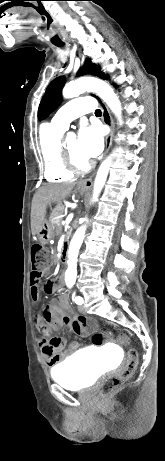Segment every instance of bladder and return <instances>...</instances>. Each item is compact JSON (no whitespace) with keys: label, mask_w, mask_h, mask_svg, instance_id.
<instances>
[{"label":"bladder","mask_w":165,"mask_h":461,"mask_svg":"<svg viewBox=\"0 0 165 461\" xmlns=\"http://www.w3.org/2000/svg\"><path fill=\"white\" fill-rule=\"evenodd\" d=\"M106 362L96 352H80L51 370V377L69 390H83L91 387L106 371Z\"/></svg>","instance_id":"bladder-1"}]
</instances>
